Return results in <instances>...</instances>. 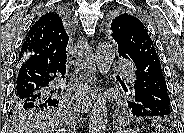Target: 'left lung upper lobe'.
<instances>
[{
  "mask_svg": "<svg viewBox=\"0 0 184 133\" xmlns=\"http://www.w3.org/2000/svg\"><path fill=\"white\" fill-rule=\"evenodd\" d=\"M109 33L118 44L119 56L132 60L134 63L141 58L155 60L161 66L147 28L133 14L117 13L109 22ZM129 94L131 99L127 100L128 108L129 104L134 101L132 92Z\"/></svg>",
  "mask_w": 184,
  "mask_h": 133,
  "instance_id": "5c2ea615",
  "label": "left lung upper lobe"
}]
</instances>
